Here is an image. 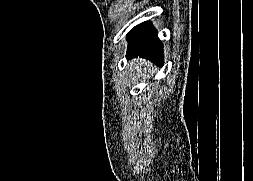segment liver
Returning a JSON list of instances; mask_svg holds the SVG:
<instances>
[{
    "label": "liver",
    "instance_id": "obj_1",
    "mask_svg": "<svg viewBox=\"0 0 253 181\" xmlns=\"http://www.w3.org/2000/svg\"><path fill=\"white\" fill-rule=\"evenodd\" d=\"M149 66L151 65L146 60H142V59H137L136 61L131 60L127 65V68L130 70L131 80L133 82H136L137 79L141 77L142 80L144 81L148 77L153 76V74L155 73V70L148 69ZM134 69L136 70V75L132 74V71Z\"/></svg>",
    "mask_w": 253,
    "mask_h": 181
}]
</instances>
